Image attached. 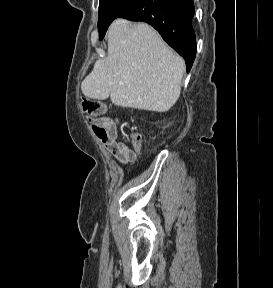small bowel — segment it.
<instances>
[{
  "mask_svg": "<svg viewBox=\"0 0 273 288\" xmlns=\"http://www.w3.org/2000/svg\"><path fill=\"white\" fill-rule=\"evenodd\" d=\"M100 125L106 131V138L100 139L107 150L123 164L134 162L140 151V144L136 143L133 148H129L123 143L117 141L118 138V121L110 118L100 120Z\"/></svg>",
  "mask_w": 273,
  "mask_h": 288,
  "instance_id": "1",
  "label": "small bowel"
}]
</instances>
